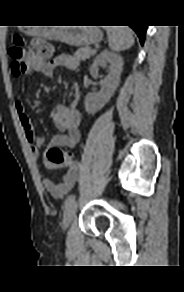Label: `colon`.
Returning a JSON list of instances; mask_svg holds the SVG:
<instances>
[{"mask_svg": "<svg viewBox=\"0 0 184 292\" xmlns=\"http://www.w3.org/2000/svg\"><path fill=\"white\" fill-rule=\"evenodd\" d=\"M12 59L11 69L14 76H21L37 63L45 62L52 55V47L44 40H35L31 43L27 52L19 36H15L13 44L9 49ZM46 156L55 165H68L75 163L73 155L57 146L50 147Z\"/></svg>", "mask_w": 184, "mask_h": 292, "instance_id": "obj_1", "label": "colon"}]
</instances>
